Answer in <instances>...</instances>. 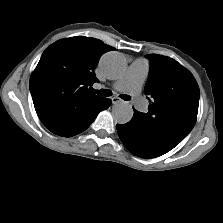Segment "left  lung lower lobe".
Returning <instances> with one entry per match:
<instances>
[{
  "instance_id": "1",
  "label": "left lung lower lobe",
  "mask_w": 223,
  "mask_h": 223,
  "mask_svg": "<svg viewBox=\"0 0 223 223\" xmlns=\"http://www.w3.org/2000/svg\"><path fill=\"white\" fill-rule=\"evenodd\" d=\"M116 128L126 148L132 154L142 158L161 156L178 144L163 136L149 133L135 117L126 124L116 125Z\"/></svg>"
}]
</instances>
